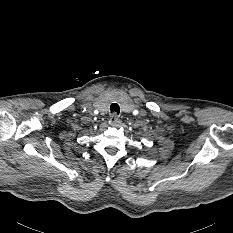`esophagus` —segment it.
I'll return each mask as SVG.
<instances>
[{"label": "esophagus", "instance_id": "1", "mask_svg": "<svg viewBox=\"0 0 233 233\" xmlns=\"http://www.w3.org/2000/svg\"><path fill=\"white\" fill-rule=\"evenodd\" d=\"M110 123L113 125H119L121 123L119 116L116 113L111 114Z\"/></svg>", "mask_w": 233, "mask_h": 233}]
</instances>
